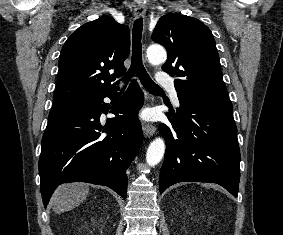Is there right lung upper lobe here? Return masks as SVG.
I'll return each mask as SVG.
<instances>
[{
	"instance_id": "cb5924a9",
	"label": "right lung upper lobe",
	"mask_w": 283,
	"mask_h": 235,
	"mask_svg": "<svg viewBox=\"0 0 283 235\" xmlns=\"http://www.w3.org/2000/svg\"><path fill=\"white\" fill-rule=\"evenodd\" d=\"M129 52V30L112 17L104 15L79 27L61 50L54 104L116 90L111 82L125 73Z\"/></svg>"
}]
</instances>
